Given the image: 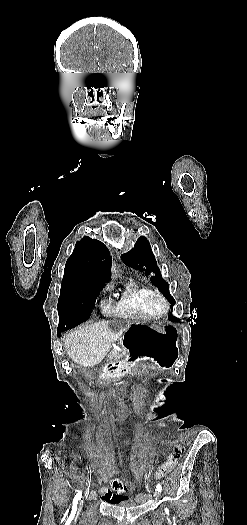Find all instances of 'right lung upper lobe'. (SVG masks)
I'll return each mask as SVG.
<instances>
[{"mask_svg":"<svg viewBox=\"0 0 247 525\" xmlns=\"http://www.w3.org/2000/svg\"><path fill=\"white\" fill-rule=\"evenodd\" d=\"M110 254L100 241L83 237L75 245L65 265V272H83L97 276L110 275Z\"/></svg>","mask_w":247,"mask_h":525,"instance_id":"1","label":"right lung upper lobe"}]
</instances>
